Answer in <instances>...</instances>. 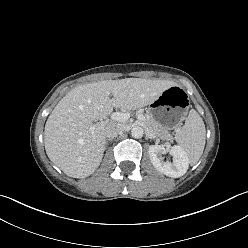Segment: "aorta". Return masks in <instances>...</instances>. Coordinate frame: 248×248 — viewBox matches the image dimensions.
<instances>
[{
  "mask_svg": "<svg viewBox=\"0 0 248 248\" xmlns=\"http://www.w3.org/2000/svg\"><path fill=\"white\" fill-rule=\"evenodd\" d=\"M131 135L133 138H141L144 135V129L140 126H135L131 130Z\"/></svg>",
  "mask_w": 248,
  "mask_h": 248,
  "instance_id": "762f6f07",
  "label": "aorta"
}]
</instances>
